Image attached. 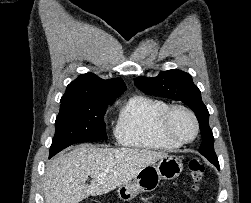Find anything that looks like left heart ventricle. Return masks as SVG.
<instances>
[{
	"instance_id": "b2bd125f",
	"label": "left heart ventricle",
	"mask_w": 251,
	"mask_h": 203,
	"mask_svg": "<svg viewBox=\"0 0 251 203\" xmlns=\"http://www.w3.org/2000/svg\"><path fill=\"white\" fill-rule=\"evenodd\" d=\"M171 131L181 139H190L195 132L192 118L182 110H176L170 120Z\"/></svg>"
}]
</instances>
